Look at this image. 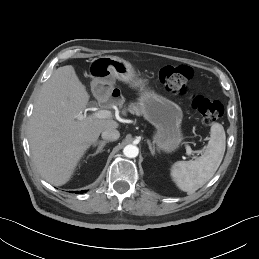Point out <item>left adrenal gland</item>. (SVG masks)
Masks as SVG:
<instances>
[{
  "label": "left adrenal gland",
  "mask_w": 259,
  "mask_h": 259,
  "mask_svg": "<svg viewBox=\"0 0 259 259\" xmlns=\"http://www.w3.org/2000/svg\"><path fill=\"white\" fill-rule=\"evenodd\" d=\"M147 144L149 146V150H150L152 156H154L155 155V148L154 147L152 148V144L149 140H147Z\"/></svg>",
  "instance_id": "1"
}]
</instances>
